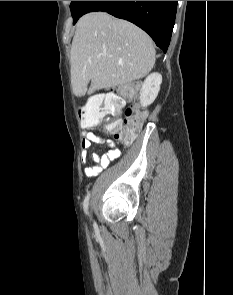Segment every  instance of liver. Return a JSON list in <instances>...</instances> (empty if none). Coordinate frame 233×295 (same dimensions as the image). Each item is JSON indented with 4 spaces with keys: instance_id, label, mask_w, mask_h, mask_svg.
Returning <instances> with one entry per match:
<instances>
[{
    "instance_id": "liver-1",
    "label": "liver",
    "mask_w": 233,
    "mask_h": 295,
    "mask_svg": "<svg viewBox=\"0 0 233 295\" xmlns=\"http://www.w3.org/2000/svg\"><path fill=\"white\" fill-rule=\"evenodd\" d=\"M155 54L150 36L131 22L106 12L85 14L70 51L72 91L82 97L143 78L153 68Z\"/></svg>"
}]
</instances>
